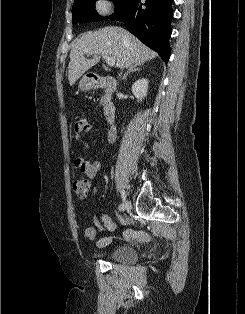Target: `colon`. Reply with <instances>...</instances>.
I'll return each instance as SVG.
<instances>
[{"instance_id": "obj_1", "label": "colon", "mask_w": 245, "mask_h": 314, "mask_svg": "<svg viewBox=\"0 0 245 314\" xmlns=\"http://www.w3.org/2000/svg\"><path fill=\"white\" fill-rule=\"evenodd\" d=\"M83 125L85 126V124ZM90 188V175L88 173L73 182V190L80 199H85L89 195Z\"/></svg>"}]
</instances>
